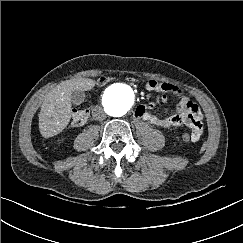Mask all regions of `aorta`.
<instances>
[{"label": "aorta", "mask_w": 243, "mask_h": 243, "mask_svg": "<svg viewBox=\"0 0 243 243\" xmlns=\"http://www.w3.org/2000/svg\"><path fill=\"white\" fill-rule=\"evenodd\" d=\"M125 88L128 89L123 85H112L105 91L104 103L119 114H124L131 106L124 95Z\"/></svg>", "instance_id": "1"}]
</instances>
